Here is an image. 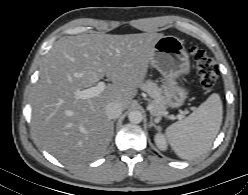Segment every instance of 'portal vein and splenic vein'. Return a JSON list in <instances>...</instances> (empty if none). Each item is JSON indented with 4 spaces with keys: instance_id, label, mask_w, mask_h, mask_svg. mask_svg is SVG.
I'll return each mask as SVG.
<instances>
[{
    "instance_id": "18ae733b",
    "label": "portal vein and splenic vein",
    "mask_w": 248,
    "mask_h": 195,
    "mask_svg": "<svg viewBox=\"0 0 248 195\" xmlns=\"http://www.w3.org/2000/svg\"><path fill=\"white\" fill-rule=\"evenodd\" d=\"M105 83L99 82L96 86L79 91L76 93V97L79 99H88L101 94L105 90Z\"/></svg>"
}]
</instances>
